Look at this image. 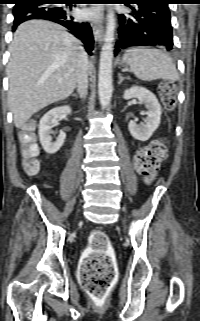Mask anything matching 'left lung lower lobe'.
Instances as JSON below:
<instances>
[{
    "mask_svg": "<svg viewBox=\"0 0 200 321\" xmlns=\"http://www.w3.org/2000/svg\"><path fill=\"white\" fill-rule=\"evenodd\" d=\"M173 0H125L129 14L119 15L118 40L115 54L134 46L173 47L171 17L168 4Z\"/></svg>",
    "mask_w": 200,
    "mask_h": 321,
    "instance_id": "left-lung-lower-lobe-1",
    "label": "left lung lower lobe"
}]
</instances>
